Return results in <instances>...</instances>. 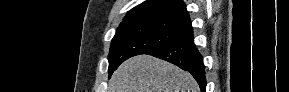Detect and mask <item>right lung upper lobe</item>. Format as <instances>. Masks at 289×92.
Returning <instances> with one entry per match:
<instances>
[{
    "label": "right lung upper lobe",
    "instance_id": "1",
    "mask_svg": "<svg viewBox=\"0 0 289 92\" xmlns=\"http://www.w3.org/2000/svg\"><path fill=\"white\" fill-rule=\"evenodd\" d=\"M133 19H152L191 27L189 14L182 0H146L124 17V21Z\"/></svg>",
    "mask_w": 289,
    "mask_h": 92
}]
</instances>
